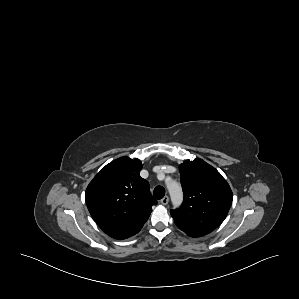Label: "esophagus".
<instances>
[{"mask_svg": "<svg viewBox=\"0 0 299 299\" xmlns=\"http://www.w3.org/2000/svg\"><path fill=\"white\" fill-rule=\"evenodd\" d=\"M169 202V197L168 196H164L161 200H160V203L162 205H167Z\"/></svg>", "mask_w": 299, "mask_h": 299, "instance_id": "obj_1", "label": "esophagus"}]
</instances>
